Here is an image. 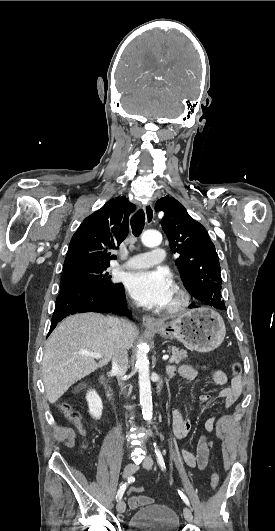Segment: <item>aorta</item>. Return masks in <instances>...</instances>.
<instances>
[{"label": "aorta", "mask_w": 275, "mask_h": 531, "mask_svg": "<svg viewBox=\"0 0 275 531\" xmlns=\"http://www.w3.org/2000/svg\"><path fill=\"white\" fill-rule=\"evenodd\" d=\"M161 239L162 237L158 231H145V233H142L141 235V243H143L145 247H158L161 243ZM135 367L138 369L140 405L143 419H145V421H151L153 405L146 343H140L138 347Z\"/></svg>", "instance_id": "1"}]
</instances>
